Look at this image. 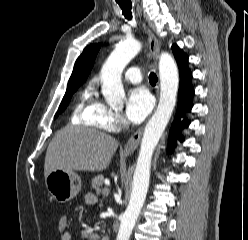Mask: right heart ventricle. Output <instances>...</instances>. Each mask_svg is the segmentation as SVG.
<instances>
[{"instance_id": "e07e8e85", "label": "right heart ventricle", "mask_w": 248, "mask_h": 240, "mask_svg": "<svg viewBox=\"0 0 248 240\" xmlns=\"http://www.w3.org/2000/svg\"><path fill=\"white\" fill-rule=\"evenodd\" d=\"M100 103L95 98L94 88L89 85L80 95L75 106V120L79 124L91 125L93 124V116Z\"/></svg>"}]
</instances>
